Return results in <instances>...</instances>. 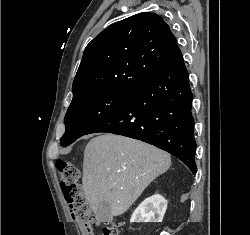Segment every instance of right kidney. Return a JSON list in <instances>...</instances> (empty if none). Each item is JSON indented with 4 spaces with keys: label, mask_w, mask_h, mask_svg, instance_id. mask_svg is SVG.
Segmentation results:
<instances>
[{
    "label": "right kidney",
    "mask_w": 250,
    "mask_h": 235,
    "mask_svg": "<svg viewBox=\"0 0 250 235\" xmlns=\"http://www.w3.org/2000/svg\"><path fill=\"white\" fill-rule=\"evenodd\" d=\"M167 209V200L155 194L146 198L133 212L130 222H162Z\"/></svg>",
    "instance_id": "1"
}]
</instances>
